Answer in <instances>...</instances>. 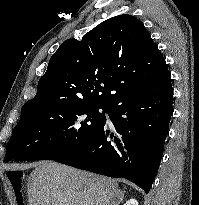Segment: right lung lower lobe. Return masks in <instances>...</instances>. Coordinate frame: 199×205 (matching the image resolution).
Segmentation results:
<instances>
[{
	"label": "right lung lower lobe",
	"mask_w": 199,
	"mask_h": 205,
	"mask_svg": "<svg viewBox=\"0 0 199 205\" xmlns=\"http://www.w3.org/2000/svg\"><path fill=\"white\" fill-rule=\"evenodd\" d=\"M141 86L107 108L115 135L109 133L105 122L83 146L54 161L126 178L148 193L157 175L172 115L171 75L144 78ZM109 137L112 140L108 141Z\"/></svg>",
	"instance_id": "obj_1"
}]
</instances>
